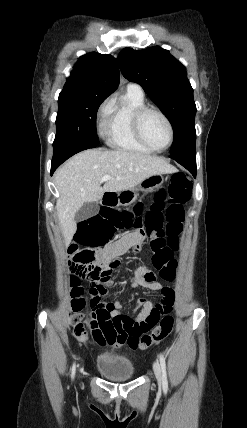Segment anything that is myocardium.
Returning a JSON list of instances; mask_svg holds the SVG:
<instances>
[{"mask_svg":"<svg viewBox=\"0 0 247 428\" xmlns=\"http://www.w3.org/2000/svg\"><path fill=\"white\" fill-rule=\"evenodd\" d=\"M149 112H154L156 114H158L160 117H162V119L165 121L168 130H169V140L168 143L166 144L165 147L163 148H155L153 147L146 139V137L144 136L143 133V129H142V121L144 116L149 113ZM132 127H133V131L134 134L136 136V138L138 139V141L143 144L146 148H148L151 151L154 152H164L167 149H169L174 141V128L173 125L170 121V119L168 118V116L159 108L153 107V106H143L138 108L132 117Z\"/></svg>","mask_w":247,"mask_h":428,"instance_id":"myocardium-1","label":"myocardium"}]
</instances>
